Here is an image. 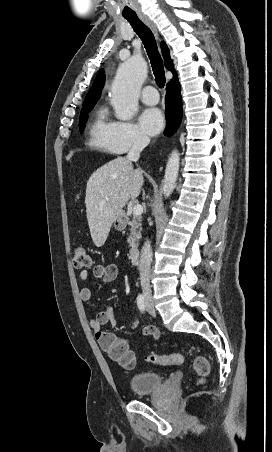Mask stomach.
<instances>
[{
	"mask_svg": "<svg viewBox=\"0 0 272 452\" xmlns=\"http://www.w3.org/2000/svg\"><path fill=\"white\" fill-rule=\"evenodd\" d=\"M125 224H126L125 215L123 212H121L116 216L114 220V226L117 229H122L124 228Z\"/></svg>",
	"mask_w": 272,
	"mask_h": 452,
	"instance_id": "1",
	"label": "stomach"
}]
</instances>
